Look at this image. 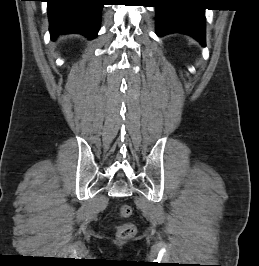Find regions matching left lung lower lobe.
I'll return each instance as SVG.
<instances>
[{
  "instance_id": "0a47b994",
  "label": "left lung lower lobe",
  "mask_w": 259,
  "mask_h": 266,
  "mask_svg": "<svg viewBox=\"0 0 259 266\" xmlns=\"http://www.w3.org/2000/svg\"><path fill=\"white\" fill-rule=\"evenodd\" d=\"M155 3L158 36L175 32L184 33L205 46L203 8L191 7L186 0H156Z\"/></svg>"
}]
</instances>
